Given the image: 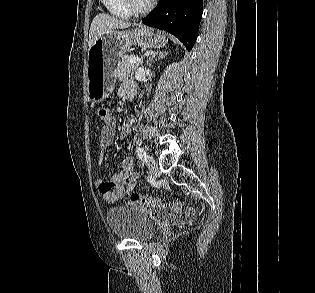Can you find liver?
Segmentation results:
<instances>
[{"label": "liver", "instance_id": "obj_1", "mask_svg": "<svg viewBox=\"0 0 315 293\" xmlns=\"http://www.w3.org/2000/svg\"><path fill=\"white\" fill-rule=\"evenodd\" d=\"M131 24L112 17L108 14H98L94 17L89 31V47L92 46L99 36L106 35L116 29H126Z\"/></svg>", "mask_w": 315, "mask_h": 293}]
</instances>
